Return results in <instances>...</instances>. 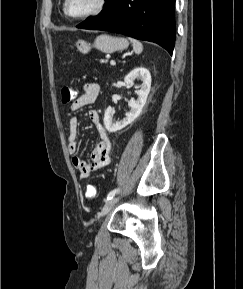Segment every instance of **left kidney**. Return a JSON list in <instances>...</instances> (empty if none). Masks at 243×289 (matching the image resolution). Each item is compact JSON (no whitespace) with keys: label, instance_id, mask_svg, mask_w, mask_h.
<instances>
[{"label":"left kidney","instance_id":"5707ae66","mask_svg":"<svg viewBox=\"0 0 243 289\" xmlns=\"http://www.w3.org/2000/svg\"><path fill=\"white\" fill-rule=\"evenodd\" d=\"M140 79L142 84L140 89L136 90L137 99H131L128 102V106L130 107V112L120 121L113 122L112 114L114 109L109 106L104 114V125L109 132H116L118 130L123 129L130 123H132L142 112V109L146 103L148 94L150 92L151 87V75L150 72L143 67H139L131 71L124 79L126 85L133 86L134 80Z\"/></svg>","mask_w":243,"mask_h":289}]
</instances>
